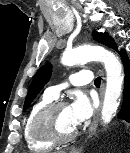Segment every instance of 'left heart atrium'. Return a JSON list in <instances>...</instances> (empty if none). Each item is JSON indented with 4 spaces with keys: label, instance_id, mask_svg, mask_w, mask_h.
Listing matches in <instances>:
<instances>
[{
    "label": "left heart atrium",
    "instance_id": "left-heart-atrium-1",
    "mask_svg": "<svg viewBox=\"0 0 130 153\" xmlns=\"http://www.w3.org/2000/svg\"><path fill=\"white\" fill-rule=\"evenodd\" d=\"M96 103L83 93H78L69 105L72 122L75 126L81 125L91 118Z\"/></svg>",
    "mask_w": 130,
    "mask_h": 153
}]
</instances>
